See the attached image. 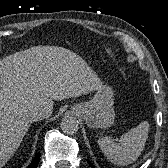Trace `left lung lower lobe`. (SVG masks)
<instances>
[{
    "label": "left lung lower lobe",
    "instance_id": "left-lung-lower-lobe-1",
    "mask_svg": "<svg viewBox=\"0 0 168 168\" xmlns=\"http://www.w3.org/2000/svg\"><path fill=\"white\" fill-rule=\"evenodd\" d=\"M88 164L90 165V167L94 168V165L88 161Z\"/></svg>",
    "mask_w": 168,
    "mask_h": 168
}]
</instances>
